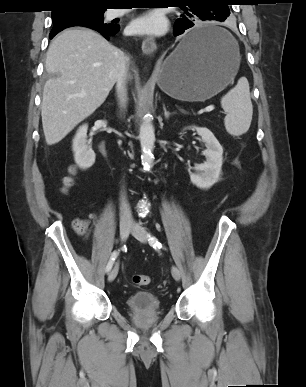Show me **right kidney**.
Instances as JSON below:
<instances>
[{"instance_id":"right-kidney-1","label":"right kidney","mask_w":306,"mask_h":387,"mask_svg":"<svg viewBox=\"0 0 306 387\" xmlns=\"http://www.w3.org/2000/svg\"><path fill=\"white\" fill-rule=\"evenodd\" d=\"M87 130V124L79 127L72 145L74 160L81 169L90 168L96 158L94 151L87 144Z\"/></svg>"}]
</instances>
